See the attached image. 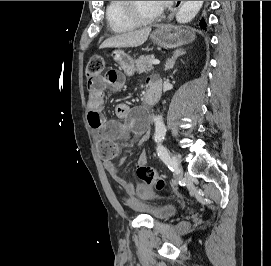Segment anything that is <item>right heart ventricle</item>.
I'll return each instance as SVG.
<instances>
[{
  "label": "right heart ventricle",
  "instance_id": "right-heart-ventricle-1",
  "mask_svg": "<svg viewBox=\"0 0 271 266\" xmlns=\"http://www.w3.org/2000/svg\"><path fill=\"white\" fill-rule=\"evenodd\" d=\"M105 15L108 26L116 33L129 32L137 26L124 15L121 1H108Z\"/></svg>",
  "mask_w": 271,
  "mask_h": 266
}]
</instances>
